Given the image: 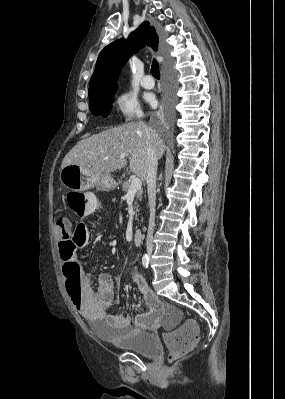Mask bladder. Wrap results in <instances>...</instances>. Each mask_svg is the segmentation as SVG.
I'll list each match as a JSON object with an SVG mask.
<instances>
[{"label":"bladder","mask_w":285,"mask_h":399,"mask_svg":"<svg viewBox=\"0 0 285 399\" xmlns=\"http://www.w3.org/2000/svg\"><path fill=\"white\" fill-rule=\"evenodd\" d=\"M94 329L99 335H103L99 323H93ZM107 339L119 345L120 348L135 352L145 357H154L159 352V346L154 334L150 332H132L126 337L107 336Z\"/></svg>","instance_id":"1"}]
</instances>
